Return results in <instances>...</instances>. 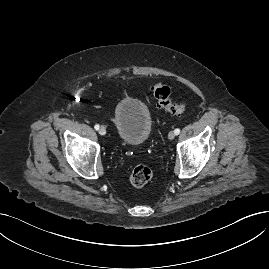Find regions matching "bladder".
<instances>
[{"mask_svg": "<svg viewBox=\"0 0 269 269\" xmlns=\"http://www.w3.org/2000/svg\"><path fill=\"white\" fill-rule=\"evenodd\" d=\"M114 127L118 138L129 145L146 141L152 129V119L146 105L137 98L125 96L114 109Z\"/></svg>", "mask_w": 269, "mask_h": 269, "instance_id": "bladder-1", "label": "bladder"}]
</instances>
